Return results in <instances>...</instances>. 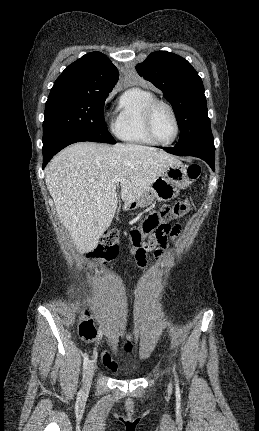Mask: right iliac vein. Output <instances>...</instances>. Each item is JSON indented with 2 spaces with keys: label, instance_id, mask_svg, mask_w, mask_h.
Returning a JSON list of instances; mask_svg holds the SVG:
<instances>
[{
  "label": "right iliac vein",
  "instance_id": "obj_1",
  "mask_svg": "<svg viewBox=\"0 0 259 431\" xmlns=\"http://www.w3.org/2000/svg\"><path fill=\"white\" fill-rule=\"evenodd\" d=\"M95 366L93 362H90L87 366L86 376H85V385L88 387L91 384L93 375H94Z\"/></svg>",
  "mask_w": 259,
  "mask_h": 431
}]
</instances>
